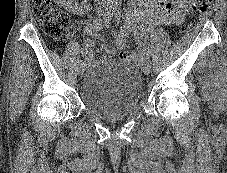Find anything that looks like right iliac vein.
Returning a JSON list of instances; mask_svg holds the SVG:
<instances>
[{
    "label": "right iliac vein",
    "mask_w": 227,
    "mask_h": 173,
    "mask_svg": "<svg viewBox=\"0 0 227 173\" xmlns=\"http://www.w3.org/2000/svg\"><path fill=\"white\" fill-rule=\"evenodd\" d=\"M107 14H108V12H105L103 15L106 16ZM85 70H86V64L84 63V64L80 65V67H79V75L82 76L84 74Z\"/></svg>",
    "instance_id": "right-iliac-vein-1"
}]
</instances>
